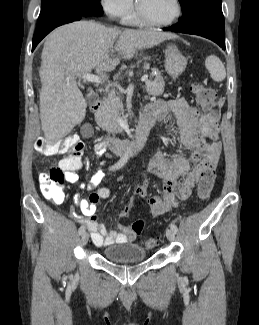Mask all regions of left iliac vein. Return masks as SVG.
<instances>
[{
    "label": "left iliac vein",
    "instance_id": "obj_1",
    "mask_svg": "<svg viewBox=\"0 0 259 325\" xmlns=\"http://www.w3.org/2000/svg\"><path fill=\"white\" fill-rule=\"evenodd\" d=\"M165 234L170 242L175 240V232L172 229L167 228Z\"/></svg>",
    "mask_w": 259,
    "mask_h": 325
}]
</instances>
